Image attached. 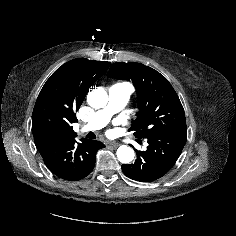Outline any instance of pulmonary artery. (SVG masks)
<instances>
[{
	"label": "pulmonary artery",
	"mask_w": 236,
	"mask_h": 236,
	"mask_svg": "<svg viewBox=\"0 0 236 236\" xmlns=\"http://www.w3.org/2000/svg\"><path fill=\"white\" fill-rule=\"evenodd\" d=\"M131 91V87L127 83L113 84L109 88L107 106L97 111L93 118L81 127V132L95 131L106 126L111 117L127 104Z\"/></svg>",
	"instance_id": "1"
}]
</instances>
